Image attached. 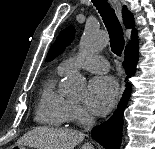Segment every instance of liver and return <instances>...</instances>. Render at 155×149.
<instances>
[{"mask_svg":"<svg viewBox=\"0 0 155 149\" xmlns=\"http://www.w3.org/2000/svg\"><path fill=\"white\" fill-rule=\"evenodd\" d=\"M82 132L72 129L51 127H36L24 134L16 146H29L35 149H74L84 140ZM81 149H93L89 143H85Z\"/></svg>","mask_w":155,"mask_h":149,"instance_id":"liver-1","label":"liver"}]
</instances>
